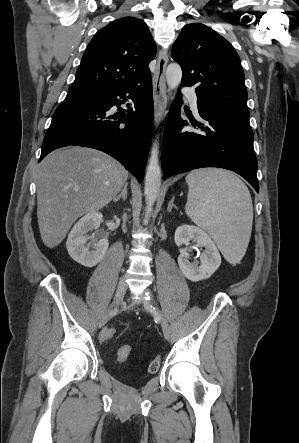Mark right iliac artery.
Masks as SVG:
<instances>
[{
    "mask_svg": "<svg viewBox=\"0 0 299 443\" xmlns=\"http://www.w3.org/2000/svg\"><path fill=\"white\" fill-rule=\"evenodd\" d=\"M116 313H117V309L113 310V311L111 312V315H114V314H116Z\"/></svg>",
    "mask_w": 299,
    "mask_h": 443,
    "instance_id": "1",
    "label": "right iliac artery"
}]
</instances>
